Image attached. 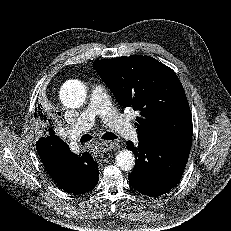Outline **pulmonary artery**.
Masks as SVG:
<instances>
[{"label":"pulmonary artery","mask_w":231,"mask_h":231,"mask_svg":"<svg viewBox=\"0 0 231 231\" xmlns=\"http://www.w3.org/2000/svg\"><path fill=\"white\" fill-rule=\"evenodd\" d=\"M98 116L122 137L130 140L137 138L135 128L126 117L115 109L109 99L107 89L102 84L93 86L89 104L80 115L75 126L70 129L69 137L75 140V133L90 129L95 124Z\"/></svg>","instance_id":"e3ab8cb5"}]
</instances>
